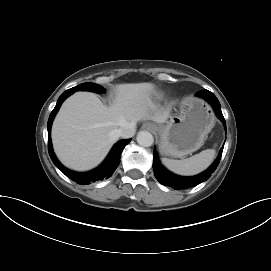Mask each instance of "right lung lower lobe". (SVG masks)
<instances>
[{"mask_svg":"<svg viewBox=\"0 0 271 271\" xmlns=\"http://www.w3.org/2000/svg\"><path fill=\"white\" fill-rule=\"evenodd\" d=\"M72 93L73 91L67 90L65 91L58 99L57 104L53 111L51 112L47 124V129H48V152L49 155L53 161V163L60 169L61 172H63L67 177L72 179L73 181L77 182L78 184L81 185H87L90 182H95L96 180H101L103 178L108 179L113 171L118 167L120 163V157L121 153L124 149V147L130 142L129 139H124L118 141L114 147L112 148L111 152L109 153L108 157L106 160L103 162L101 166L96 168L93 171L90 172H85V173H79V172H74L71 171L67 168H65L56 158L53 149H52V143H51V125L52 121L55 117V114L58 112L62 102Z\"/></svg>","mask_w":271,"mask_h":271,"instance_id":"right-lung-lower-lobe-1","label":"right lung lower lobe"}]
</instances>
